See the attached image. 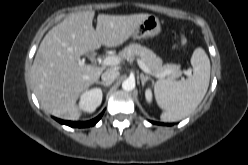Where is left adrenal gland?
<instances>
[{
    "instance_id": "1",
    "label": "left adrenal gland",
    "mask_w": 248,
    "mask_h": 165,
    "mask_svg": "<svg viewBox=\"0 0 248 165\" xmlns=\"http://www.w3.org/2000/svg\"><path fill=\"white\" fill-rule=\"evenodd\" d=\"M140 78H141V83H142V86L145 85L146 81L148 80H152V78L150 76H145L144 74H140Z\"/></svg>"
}]
</instances>
